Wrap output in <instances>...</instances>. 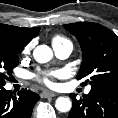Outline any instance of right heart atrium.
<instances>
[{"label": "right heart atrium", "mask_w": 118, "mask_h": 118, "mask_svg": "<svg viewBox=\"0 0 118 118\" xmlns=\"http://www.w3.org/2000/svg\"><path fill=\"white\" fill-rule=\"evenodd\" d=\"M34 47V41L29 42L28 44L25 45L23 48V54L28 55Z\"/></svg>", "instance_id": "d8ad5b80"}]
</instances>
